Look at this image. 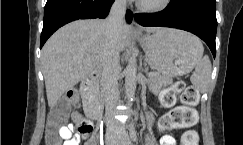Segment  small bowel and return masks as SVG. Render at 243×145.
<instances>
[{"instance_id":"c3829d8e","label":"small bowel","mask_w":243,"mask_h":145,"mask_svg":"<svg viewBox=\"0 0 243 145\" xmlns=\"http://www.w3.org/2000/svg\"><path fill=\"white\" fill-rule=\"evenodd\" d=\"M78 117H81V115L74 112L72 115L74 123H70L61 128L60 137L64 140L62 145H79L81 138L89 135L90 132L86 134L73 132L74 126L76 125V119ZM147 120L148 124H152L153 118L151 115H148ZM160 145H176V141L173 136L166 134L161 137Z\"/></svg>"}]
</instances>
